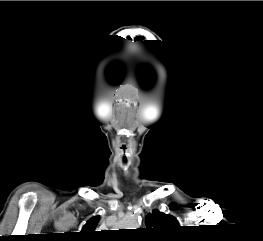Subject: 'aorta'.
<instances>
[{
	"label": "aorta",
	"instance_id": "aorta-1",
	"mask_svg": "<svg viewBox=\"0 0 263 241\" xmlns=\"http://www.w3.org/2000/svg\"><path fill=\"white\" fill-rule=\"evenodd\" d=\"M139 225V216L136 214H129L119 222L118 227L120 229H136Z\"/></svg>",
	"mask_w": 263,
	"mask_h": 241
}]
</instances>
